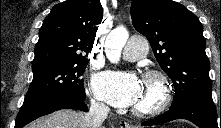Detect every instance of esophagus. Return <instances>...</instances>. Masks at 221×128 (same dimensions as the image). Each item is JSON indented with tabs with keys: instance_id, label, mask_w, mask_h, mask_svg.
Returning <instances> with one entry per match:
<instances>
[{
	"instance_id": "esophagus-1",
	"label": "esophagus",
	"mask_w": 221,
	"mask_h": 128,
	"mask_svg": "<svg viewBox=\"0 0 221 128\" xmlns=\"http://www.w3.org/2000/svg\"><path fill=\"white\" fill-rule=\"evenodd\" d=\"M123 126H124L125 128H129V124H128L127 122H125V123L123 124Z\"/></svg>"
}]
</instances>
